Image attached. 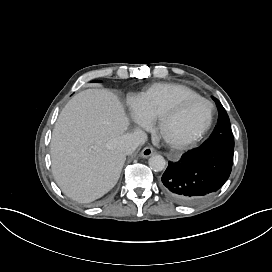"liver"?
<instances>
[{
  "mask_svg": "<svg viewBox=\"0 0 272 272\" xmlns=\"http://www.w3.org/2000/svg\"><path fill=\"white\" fill-rule=\"evenodd\" d=\"M128 126L123 105L107 89H87L68 101L50 143L52 173L64 194L89 203L116 185L126 160L117 140Z\"/></svg>",
  "mask_w": 272,
  "mask_h": 272,
  "instance_id": "obj_1",
  "label": "liver"
}]
</instances>
